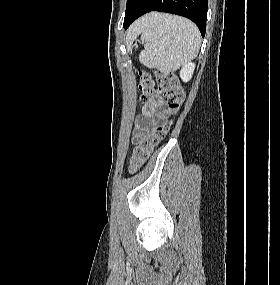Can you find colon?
Here are the masks:
<instances>
[{
  "instance_id": "5ec220e1",
  "label": "colon",
  "mask_w": 280,
  "mask_h": 285,
  "mask_svg": "<svg viewBox=\"0 0 280 285\" xmlns=\"http://www.w3.org/2000/svg\"><path fill=\"white\" fill-rule=\"evenodd\" d=\"M155 84L158 85L170 114L177 113L182 105L184 94L176 76L164 71H156L154 76L148 72H139L138 90L143 102L150 99ZM170 124V120L160 119L136 141L129 161L131 172H136L142 167L150 153L166 136Z\"/></svg>"
}]
</instances>
